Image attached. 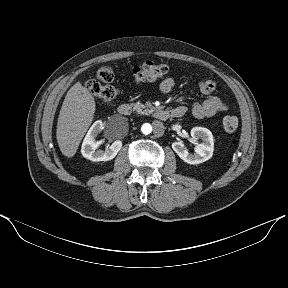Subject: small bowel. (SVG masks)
<instances>
[{"label": "small bowel", "mask_w": 288, "mask_h": 288, "mask_svg": "<svg viewBox=\"0 0 288 288\" xmlns=\"http://www.w3.org/2000/svg\"><path fill=\"white\" fill-rule=\"evenodd\" d=\"M174 79L172 77L164 78L159 84L158 89L160 92L169 93L174 87ZM200 92L204 95V99L191 106L190 112L193 117L202 119L205 117H212L219 112L228 110V105L219 97L212 95L215 90V83L209 79H202L197 83ZM174 109L181 110L184 115L187 112V107L180 105Z\"/></svg>", "instance_id": "obj_1"}]
</instances>
